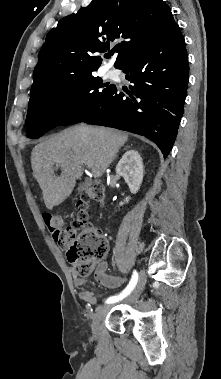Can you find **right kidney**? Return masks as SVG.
<instances>
[{"instance_id": "ca27d5eb", "label": "right kidney", "mask_w": 221, "mask_h": 379, "mask_svg": "<svg viewBox=\"0 0 221 379\" xmlns=\"http://www.w3.org/2000/svg\"><path fill=\"white\" fill-rule=\"evenodd\" d=\"M116 173L122 176L128 184L132 194H136L143 180V162L140 154L136 150L127 151L116 166ZM130 197H126L120 206L128 203Z\"/></svg>"}]
</instances>
